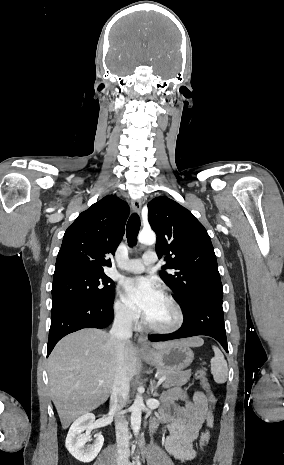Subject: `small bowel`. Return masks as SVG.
<instances>
[{
  "instance_id": "1",
  "label": "small bowel",
  "mask_w": 284,
  "mask_h": 465,
  "mask_svg": "<svg viewBox=\"0 0 284 465\" xmlns=\"http://www.w3.org/2000/svg\"><path fill=\"white\" fill-rule=\"evenodd\" d=\"M164 400L168 403L161 414L167 432L164 447L174 460L190 462L197 456L194 442L199 431L203 426L209 429L213 426V415L207 398L202 392L196 391L190 399L182 389L173 388L164 394ZM178 401L183 404H176Z\"/></svg>"
}]
</instances>
